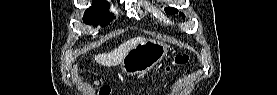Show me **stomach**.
Instances as JSON below:
<instances>
[{
	"label": "stomach",
	"mask_w": 277,
	"mask_h": 95,
	"mask_svg": "<svg viewBox=\"0 0 277 95\" xmlns=\"http://www.w3.org/2000/svg\"><path fill=\"white\" fill-rule=\"evenodd\" d=\"M168 48L162 41L144 39L123 58L122 71L130 76L145 74L167 56Z\"/></svg>",
	"instance_id": "stomach-1"
}]
</instances>
